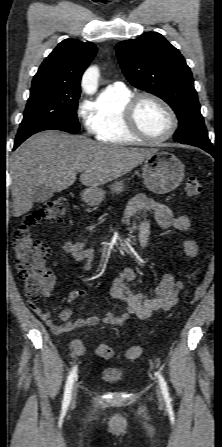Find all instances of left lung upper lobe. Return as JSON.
<instances>
[{"label":"left lung upper lobe","mask_w":222,"mask_h":447,"mask_svg":"<svg viewBox=\"0 0 222 447\" xmlns=\"http://www.w3.org/2000/svg\"><path fill=\"white\" fill-rule=\"evenodd\" d=\"M115 49L128 81L160 97L175 111L179 120L175 141L212 145L200 113L190 68L178 49L157 32L121 41Z\"/></svg>","instance_id":"left-lung-upper-lobe-1"}]
</instances>
